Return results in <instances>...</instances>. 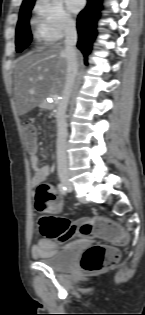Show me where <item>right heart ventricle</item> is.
<instances>
[{"label": "right heart ventricle", "mask_w": 145, "mask_h": 315, "mask_svg": "<svg viewBox=\"0 0 145 315\" xmlns=\"http://www.w3.org/2000/svg\"><path fill=\"white\" fill-rule=\"evenodd\" d=\"M34 36L37 41H44L46 39L39 27L35 29Z\"/></svg>", "instance_id": "e07e8e85"}]
</instances>
